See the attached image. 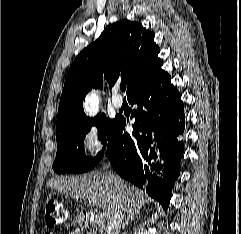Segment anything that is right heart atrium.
<instances>
[{
  "label": "right heart atrium",
  "mask_w": 241,
  "mask_h": 234,
  "mask_svg": "<svg viewBox=\"0 0 241 234\" xmlns=\"http://www.w3.org/2000/svg\"><path fill=\"white\" fill-rule=\"evenodd\" d=\"M81 141L86 154L90 158L97 159L106 150L107 134L100 124H90L82 131Z\"/></svg>",
  "instance_id": "d8ad5b80"
}]
</instances>
